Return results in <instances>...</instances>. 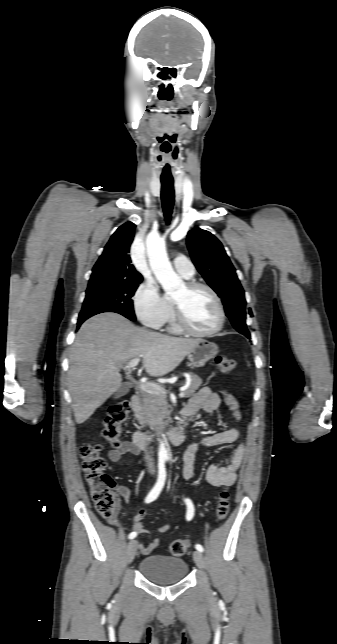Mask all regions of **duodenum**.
Returning <instances> with one entry per match:
<instances>
[{"mask_svg": "<svg viewBox=\"0 0 337 644\" xmlns=\"http://www.w3.org/2000/svg\"><path fill=\"white\" fill-rule=\"evenodd\" d=\"M131 406L135 413L136 418L139 419L141 416L140 396L137 393H135L131 398ZM186 419L187 418L184 415H182V420L176 428H174L173 430L167 433L161 434L157 437H153L150 435H146L140 431H136L133 434V444L138 449H141V450L146 449L152 442H154L157 439H162L166 443H169L172 445H179L186 438V431H185Z\"/></svg>", "mask_w": 337, "mask_h": 644, "instance_id": "obj_1", "label": "duodenum"}]
</instances>
